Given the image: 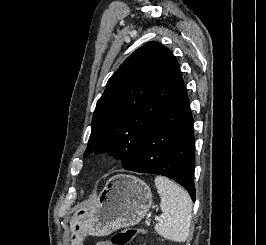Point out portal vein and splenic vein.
<instances>
[{
	"label": "portal vein and splenic vein",
	"mask_w": 266,
	"mask_h": 245,
	"mask_svg": "<svg viewBox=\"0 0 266 245\" xmlns=\"http://www.w3.org/2000/svg\"><path fill=\"white\" fill-rule=\"evenodd\" d=\"M155 221H160V217H155Z\"/></svg>",
	"instance_id": "18ae733b"
}]
</instances>
